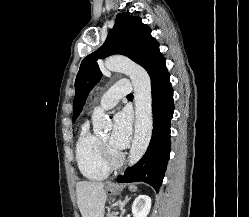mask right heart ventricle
<instances>
[{
  "label": "right heart ventricle",
  "mask_w": 249,
  "mask_h": 217,
  "mask_svg": "<svg viewBox=\"0 0 249 217\" xmlns=\"http://www.w3.org/2000/svg\"><path fill=\"white\" fill-rule=\"evenodd\" d=\"M75 155L78 168L85 178L93 181L107 178L110 169L104 160L100 139L90 131L88 121L80 127Z\"/></svg>",
  "instance_id": "right-heart-ventricle-1"
}]
</instances>
